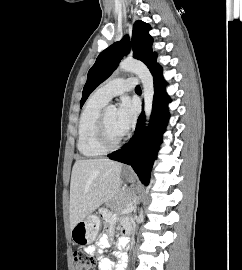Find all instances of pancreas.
I'll use <instances>...</instances> for the list:
<instances>
[{"label": "pancreas", "mask_w": 242, "mask_h": 270, "mask_svg": "<svg viewBox=\"0 0 242 270\" xmlns=\"http://www.w3.org/2000/svg\"><path fill=\"white\" fill-rule=\"evenodd\" d=\"M134 202V196L129 191L122 193L119 198L115 201L113 200L109 207H111L114 211H123L128 206L132 205Z\"/></svg>", "instance_id": "cf45deb5"}]
</instances>
